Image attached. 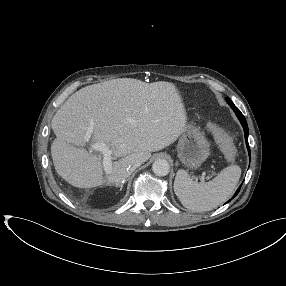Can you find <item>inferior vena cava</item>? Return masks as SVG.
Masks as SVG:
<instances>
[{"mask_svg": "<svg viewBox=\"0 0 286 286\" xmlns=\"http://www.w3.org/2000/svg\"><path fill=\"white\" fill-rule=\"evenodd\" d=\"M142 164L141 159H133L130 161L129 168L127 169L128 174L130 175L136 168Z\"/></svg>", "mask_w": 286, "mask_h": 286, "instance_id": "obj_1", "label": "inferior vena cava"}]
</instances>
